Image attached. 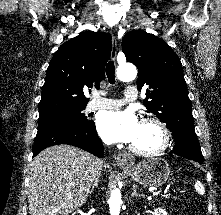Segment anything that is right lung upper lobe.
I'll return each instance as SVG.
<instances>
[{"instance_id":"obj_1","label":"right lung upper lobe","mask_w":221,"mask_h":215,"mask_svg":"<svg viewBox=\"0 0 221 215\" xmlns=\"http://www.w3.org/2000/svg\"><path fill=\"white\" fill-rule=\"evenodd\" d=\"M111 48L110 34L92 31L82 32L61 45L47 69L39 116L86 107L89 100L83 90L100 88Z\"/></svg>"}]
</instances>
